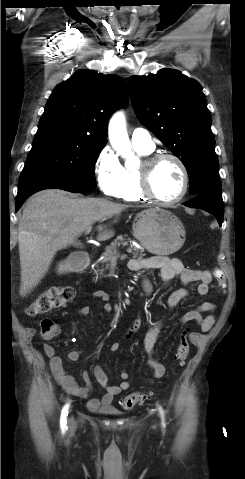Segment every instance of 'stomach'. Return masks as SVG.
I'll use <instances>...</instances> for the list:
<instances>
[{"label":"stomach","instance_id":"0dacf381","mask_svg":"<svg viewBox=\"0 0 245 479\" xmlns=\"http://www.w3.org/2000/svg\"><path fill=\"white\" fill-rule=\"evenodd\" d=\"M133 234L150 253L169 255L183 246L186 232L182 222L170 211L150 208L136 215ZM66 270V264L61 263L58 271Z\"/></svg>","mask_w":245,"mask_h":479}]
</instances>
